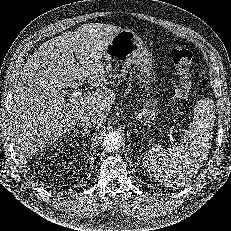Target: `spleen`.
Segmentation results:
<instances>
[{"label": "spleen", "mask_w": 231, "mask_h": 231, "mask_svg": "<svg viewBox=\"0 0 231 231\" xmlns=\"http://www.w3.org/2000/svg\"><path fill=\"white\" fill-rule=\"evenodd\" d=\"M213 119L212 109L198 103L190 129L179 145L167 149L155 145L144 155L142 165L149 175L166 186H181L191 179L208 156Z\"/></svg>", "instance_id": "obj_1"}]
</instances>
